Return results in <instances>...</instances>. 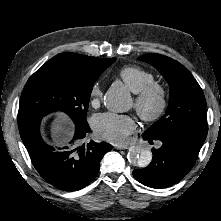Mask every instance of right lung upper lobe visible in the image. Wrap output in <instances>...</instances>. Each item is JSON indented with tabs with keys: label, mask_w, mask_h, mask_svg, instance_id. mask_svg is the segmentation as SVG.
Instances as JSON below:
<instances>
[{
	"label": "right lung upper lobe",
	"mask_w": 221,
	"mask_h": 221,
	"mask_svg": "<svg viewBox=\"0 0 221 221\" xmlns=\"http://www.w3.org/2000/svg\"><path fill=\"white\" fill-rule=\"evenodd\" d=\"M101 58H95L73 53H61L46 64L54 65L59 71L74 75H86L90 73Z\"/></svg>",
	"instance_id": "cb5924a9"
}]
</instances>
